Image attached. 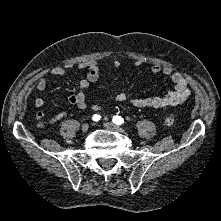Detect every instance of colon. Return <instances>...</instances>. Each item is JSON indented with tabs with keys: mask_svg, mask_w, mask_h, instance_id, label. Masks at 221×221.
Here are the masks:
<instances>
[{
	"mask_svg": "<svg viewBox=\"0 0 221 221\" xmlns=\"http://www.w3.org/2000/svg\"><path fill=\"white\" fill-rule=\"evenodd\" d=\"M176 124V118L173 114H168L165 118H164V125L166 127L172 128L174 127Z\"/></svg>",
	"mask_w": 221,
	"mask_h": 221,
	"instance_id": "colon-1",
	"label": "colon"
}]
</instances>
